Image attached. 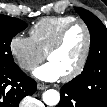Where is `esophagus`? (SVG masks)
Listing matches in <instances>:
<instances>
[{
  "label": "esophagus",
  "mask_w": 107,
  "mask_h": 107,
  "mask_svg": "<svg viewBox=\"0 0 107 107\" xmlns=\"http://www.w3.org/2000/svg\"><path fill=\"white\" fill-rule=\"evenodd\" d=\"M47 88H48V86L45 85V84H42V83L37 84V89L38 90H44V89H47Z\"/></svg>",
  "instance_id": "34e87169"
}]
</instances>
